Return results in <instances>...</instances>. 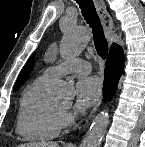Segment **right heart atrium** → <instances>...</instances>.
Returning <instances> with one entry per match:
<instances>
[{"label": "right heart atrium", "mask_w": 145, "mask_h": 147, "mask_svg": "<svg viewBox=\"0 0 145 147\" xmlns=\"http://www.w3.org/2000/svg\"><path fill=\"white\" fill-rule=\"evenodd\" d=\"M71 120H72V114L67 109L61 110L60 129L69 126Z\"/></svg>", "instance_id": "d8ad5b80"}]
</instances>
